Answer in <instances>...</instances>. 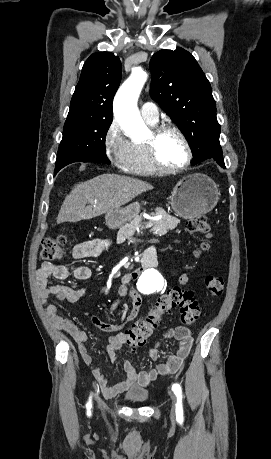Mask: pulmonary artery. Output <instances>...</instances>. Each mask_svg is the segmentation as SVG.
Listing matches in <instances>:
<instances>
[{
    "mask_svg": "<svg viewBox=\"0 0 271 459\" xmlns=\"http://www.w3.org/2000/svg\"><path fill=\"white\" fill-rule=\"evenodd\" d=\"M140 113L151 124H156L159 121V108L155 103H144L140 108Z\"/></svg>",
    "mask_w": 271,
    "mask_h": 459,
    "instance_id": "1",
    "label": "pulmonary artery"
}]
</instances>
